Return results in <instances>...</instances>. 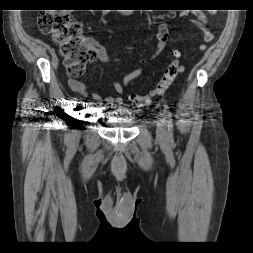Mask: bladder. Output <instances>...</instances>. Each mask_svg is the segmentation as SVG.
<instances>
[{"label":"bladder","instance_id":"1","mask_svg":"<svg viewBox=\"0 0 253 253\" xmlns=\"http://www.w3.org/2000/svg\"><path fill=\"white\" fill-rule=\"evenodd\" d=\"M104 121L108 126L117 128H129L135 123V119L126 109L104 111Z\"/></svg>","mask_w":253,"mask_h":253}]
</instances>
